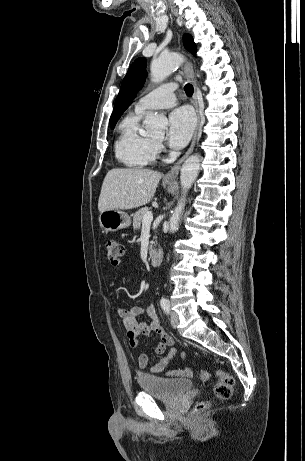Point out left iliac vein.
<instances>
[{
  "instance_id": "left-iliac-vein-1",
  "label": "left iliac vein",
  "mask_w": 305,
  "mask_h": 461,
  "mask_svg": "<svg viewBox=\"0 0 305 461\" xmlns=\"http://www.w3.org/2000/svg\"><path fill=\"white\" fill-rule=\"evenodd\" d=\"M171 326L176 329L179 323V316L176 312H171L170 315Z\"/></svg>"
}]
</instances>
